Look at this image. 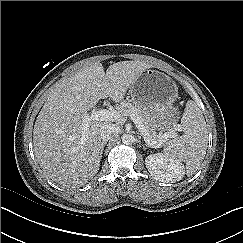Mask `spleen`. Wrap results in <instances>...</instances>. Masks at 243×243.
Here are the masks:
<instances>
[{
	"mask_svg": "<svg viewBox=\"0 0 243 243\" xmlns=\"http://www.w3.org/2000/svg\"><path fill=\"white\" fill-rule=\"evenodd\" d=\"M184 134L167 142L162 155L186 163L188 175L200 167L208 147V129L204 116L194 101H188L181 119Z\"/></svg>",
	"mask_w": 243,
	"mask_h": 243,
	"instance_id": "1",
	"label": "spleen"
}]
</instances>
